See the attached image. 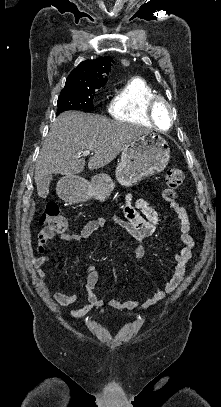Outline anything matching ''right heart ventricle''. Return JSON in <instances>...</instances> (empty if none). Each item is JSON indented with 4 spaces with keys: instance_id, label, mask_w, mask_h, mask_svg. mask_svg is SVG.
Segmentation results:
<instances>
[{
    "instance_id": "1",
    "label": "right heart ventricle",
    "mask_w": 221,
    "mask_h": 407,
    "mask_svg": "<svg viewBox=\"0 0 221 407\" xmlns=\"http://www.w3.org/2000/svg\"><path fill=\"white\" fill-rule=\"evenodd\" d=\"M157 95L145 79L131 78L112 94L107 112L120 121L151 126L147 104Z\"/></svg>"
}]
</instances>
